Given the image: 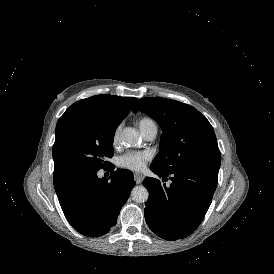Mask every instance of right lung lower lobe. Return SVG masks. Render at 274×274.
I'll return each mask as SVG.
<instances>
[{"label":"right lung lower lobe","instance_id":"right-lung-lower-lobe-1","mask_svg":"<svg viewBox=\"0 0 274 274\" xmlns=\"http://www.w3.org/2000/svg\"><path fill=\"white\" fill-rule=\"evenodd\" d=\"M96 169L54 174L59 203L69 223L81 234L99 237L117 222L120 209L135 185L129 170L117 169L99 179Z\"/></svg>","mask_w":274,"mask_h":274}]
</instances>
